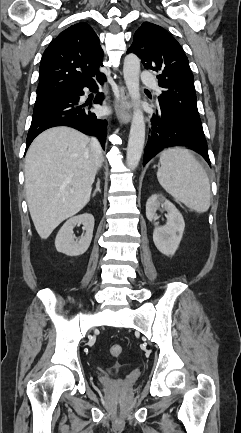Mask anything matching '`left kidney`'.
Here are the masks:
<instances>
[{
    "mask_svg": "<svg viewBox=\"0 0 241 433\" xmlns=\"http://www.w3.org/2000/svg\"><path fill=\"white\" fill-rule=\"evenodd\" d=\"M167 211V222L163 226H155L153 241L156 248L166 256H173L181 242L185 222L177 208L163 195L154 194L146 202V217L149 221L157 219L156 211L160 208Z\"/></svg>",
    "mask_w": 241,
    "mask_h": 433,
    "instance_id": "left-kidney-1",
    "label": "left kidney"
}]
</instances>
